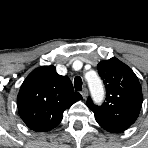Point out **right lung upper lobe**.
<instances>
[{
  "label": "right lung upper lobe",
  "mask_w": 148,
  "mask_h": 148,
  "mask_svg": "<svg viewBox=\"0 0 148 148\" xmlns=\"http://www.w3.org/2000/svg\"><path fill=\"white\" fill-rule=\"evenodd\" d=\"M82 99L70 79L56 72L53 65L41 66L24 80L17 96L21 119L36 132L55 128L63 112Z\"/></svg>",
  "instance_id": "obj_1"
}]
</instances>
